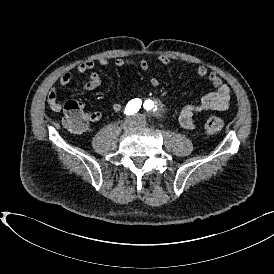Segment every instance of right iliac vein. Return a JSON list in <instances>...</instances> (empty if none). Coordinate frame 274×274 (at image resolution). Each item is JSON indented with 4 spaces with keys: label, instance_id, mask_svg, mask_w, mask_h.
<instances>
[{
    "label": "right iliac vein",
    "instance_id": "63e3f726",
    "mask_svg": "<svg viewBox=\"0 0 274 274\" xmlns=\"http://www.w3.org/2000/svg\"><path fill=\"white\" fill-rule=\"evenodd\" d=\"M135 123H136V120L134 117H128L121 124V128L123 130L131 129L135 125Z\"/></svg>",
    "mask_w": 274,
    "mask_h": 274
}]
</instances>
